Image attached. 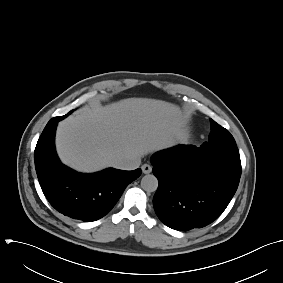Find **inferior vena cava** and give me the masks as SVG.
<instances>
[{
  "label": "inferior vena cava",
  "instance_id": "inferior-vena-cava-1",
  "mask_svg": "<svg viewBox=\"0 0 283 283\" xmlns=\"http://www.w3.org/2000/svg\"><path fill=\"white\" fill-rule=\"evenodd\" d=\"M141 160L138 157L120 158L114 162V167L122 170H134L140 166Z\"/></svg>",
  "mask_w": 283,
  "mask_h": 283
}]
</instances>
